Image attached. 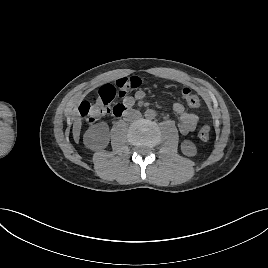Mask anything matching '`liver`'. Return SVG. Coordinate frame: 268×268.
Here are the masks:
<instances>
[{
	"label": "liver",
	"mask_w": 268,
	"mask_h": 268,
	"mask_svg": "<svg viewBox=\"0 0 268 268\" xmlns=\"http://www.w3.org/2000/svg\"><path fill=\"white\" fill-rule=\"evenodd\" d=\"M81 126H82L81 118L79 116H77L74 119L73 130H72L73 138H74L76 143L79 142Z\"/></svg>",
	"instance_id": "6515ba94"
}]
</instances>
